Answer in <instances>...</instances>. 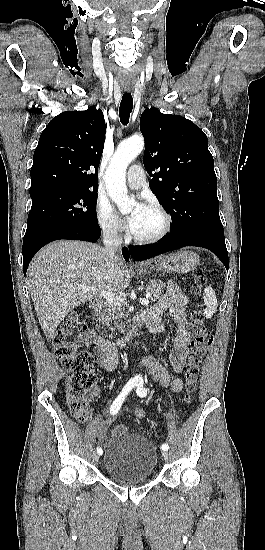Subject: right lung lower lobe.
Here are the masks:
<instances>
[{"label":"right lung lower lobe","instance_id":"obj_1","mask_svg":"<svg viewBox=\"0 0 265 550\" xmlns=\"http://www.w3.org/2000/svg\"><path fill=\"white\" fill-rule=\"evenodd\" d=\"M101 235L99 225H63L46 231H42L23 240V272L26 274L27 268L33 256L44 245L59 239L83 240L96 242ZM122 254L126 261L129 260V251L126 247L122 248Z\"/></svg>","mask_w":265,"mask_h":550}]
</instances>
